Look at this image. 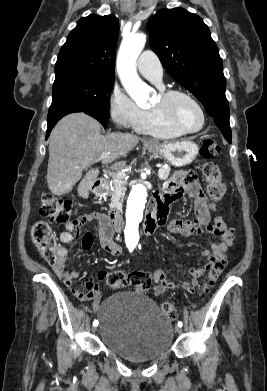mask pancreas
<instances>
[{
	"instance_id": "obj_1",
	"label": "pancreas",
	"mask_w": 267,
	"mask_h": 391,
	"mask_svg": "<svg viewBox=\"0 0 267 391\" xmlns=\"http://www.w3.org/2000/svg\"><path fill=\"white\" fill-rule=\"evenodd\" d=\"M170 167H161L158 171V176L160 180H166L170 174ZM126 182L124 178L114 179L112 182L108 183L107 192L111 195V208H119L121 206V201L126 192Z\"/></svg>"
}]
</instances>
